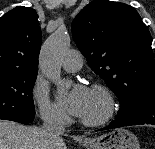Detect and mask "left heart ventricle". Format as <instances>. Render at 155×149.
I'll use <instances>...</instances> for the list:
<instances>
[{"label":"left heart ventricle","mask_w":155,"mask_h":149,"mask_svg":"<svg viewBox=\"0 0 155 149\" xmlns=\"http://www.w3.org/2000/svg\"><path fill=\"white\" fill-rule=\"evenodd\" d=\"M103 112L104 103L102 98L93 90H89V96L80 117L85 119H95L100 117Z\"/></svg>","instance_id":"obj_1"}]
</instances>
